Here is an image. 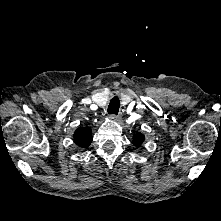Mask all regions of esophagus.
<instances>
[{"mask_svg":"<svg viewBox=\"0 0 221 221\" xmlns=\"http://www.w3.org/2000/svg\"><path fill=\"white\" fill-rule=\"evenodd\" d=\"M121 116H122V112H119L117 115L113 114V115L111 116V119H112L113 121H117Z\"/></svg>","mask_w":221,"mask_h":221,"instance_id":"34e87169","label":"esophagus"}]
</instances>
